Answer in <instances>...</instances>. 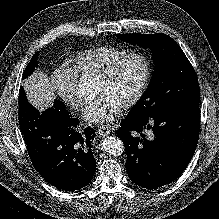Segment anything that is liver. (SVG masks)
<instances>
[{
	"instance_id": "obj_1",
	"label": "liver",
	"mask_w": 219,
	"mask_h": 219,
	"mask_svg": "<svg viewBox=\"0 0 219 219\" xmlns=\"http://www.w3.org/2000/svg\"><path fill=\"white\" fill-rule=\"evenodd\" d=\"M23 86L28 101L40 112L53 105V86L43 71L36 70L24 81Z\"/></svg>"
}]
</instances>
